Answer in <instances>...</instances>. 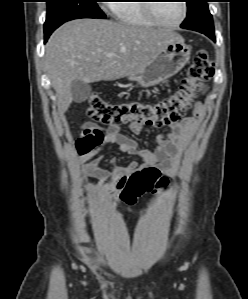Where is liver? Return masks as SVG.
I'll return each mask as SVG.
<instances>
[{
  "mask_svg": "<svg viewBox=\"0 0 248 299\" xmlns=\"http://www.w3.org/2000/svg\"><path fill=\"white\" fill-rule=\"evenodd\" d=\"M175 41L184 40L171 29L100 19H78L63 24L50 36L44 57L59 113H65L73 101L74 80L93 83L129 76L142 70ZM108 53L113 56L108 57Z\"/></svg>",
  "mask_w": 248,
  "mask_h": 299,
  "instance_id": "obj_1",
  "label": "liver"
}]
</instances>
